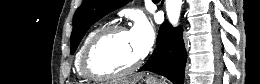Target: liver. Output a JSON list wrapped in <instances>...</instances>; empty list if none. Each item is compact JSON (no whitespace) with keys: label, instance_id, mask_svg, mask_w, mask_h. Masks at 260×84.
I'll return each mask as SVG.
<instances>
[{"label":"liver","instance_id":"6515ba94","mask_svg":"<svg viewBox=\"0 0 260 84\" xmlns=\"http://www.w3.org/2000/svg\"><path fill=\"white\" fill-rule=\"evenodd\" d=\"M143 74H138L132 78H125L122 80V84H136V82L141 79Z\"/></svg>","mask_w":260,"mask_h":84}]
</instances>
